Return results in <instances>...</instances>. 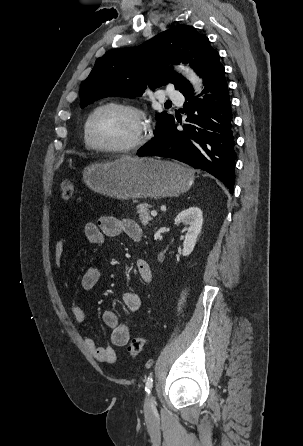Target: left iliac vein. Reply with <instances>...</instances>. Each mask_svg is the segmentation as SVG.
I'll use <instances>...</instances> for the list:
<instances>
[{"mask_svg":"<svg viewBox=\"0 0 303 446\" xmlns=\"http://www.w3.org/2000/svg\"><path fill=\"white\" fill-rule=\"evenodd\" d=\"M154 409V400L152 394H149L145 400V411L147 413L152 412Z\"/></svg>","mask_w":303,"mask_h":446,"instance_id":"obj_1","label":"left iliac vein"}]
</instances>
